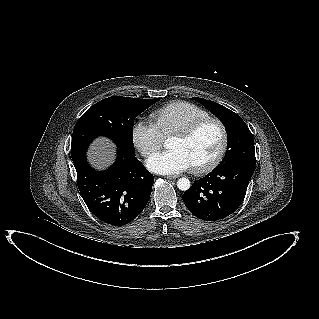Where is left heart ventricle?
I'll return each instance as SVG.
<instances>
[{"label": "left heart ventricle", "mask_w": 319, "mask_h": 319, "mask_svg": "<svg viewBox=\"0 0 319 319\" xmlns=\"http://www.w3.org/2000/svg\"><path fill=\"white\" fill-rule=\"evenodd\" d=\"M220 131L214 124L200 128L191 138L182 140L170 138L167 147L181 151L191 166L209 162L217 153L220 145Z\"/></svg>", "instance_id": "left-heart-ventricle-1"}]
</instances>
